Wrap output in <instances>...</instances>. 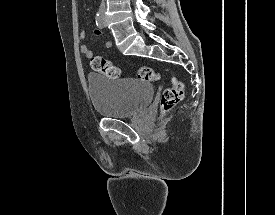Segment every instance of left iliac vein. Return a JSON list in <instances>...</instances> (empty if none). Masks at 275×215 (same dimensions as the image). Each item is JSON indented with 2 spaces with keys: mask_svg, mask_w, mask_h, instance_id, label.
<instances>
[{
  "mask_svg": "<svg viewBox=\"0 0 275 215\" xmlns=\"http://www.w3.org/2000/svg\"><path fill=\"white\" fill-rule=\"evenodd\" d=\"M103 20H104V26H105V18L103 17Z\"/></svg>",
  "mask_w": 275,
  "mask_h": 215,
  "instance_id": "1",
  "label": "left iliac vein"
}]
</instances>
